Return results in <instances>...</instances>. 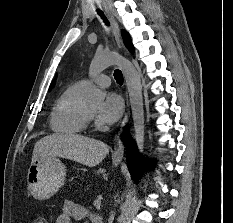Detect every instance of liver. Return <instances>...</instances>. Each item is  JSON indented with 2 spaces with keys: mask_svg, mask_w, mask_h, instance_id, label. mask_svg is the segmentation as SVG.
Returning a JSON list of instances; mask_svg holds the SVG:
<instances>
[{
  "mask_svg": "<svg viewBox=\"0 0 233 223\" xmlns=\"http://www.w3.org/2000/svg\"><path fill=\"white\" fill-rule=\"evenodd\" d=\"M109 153V147L104 141L77 135V133H53L41 137L33 149L32 161L38 159L39 155H57L73 159L82 165L95 167ZM106 169L99 167L98 173H105Z\"/></svg>",
  "mask_w": 233,
  "mask_h": 223,
  "instance_id": "obj_1",
  "label": "liver"
}]
</instances>
